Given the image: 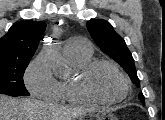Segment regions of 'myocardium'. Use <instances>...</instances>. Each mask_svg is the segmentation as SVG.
<instances>
[{"instance_id": "1", "label": "myocardium", "mask_w": 165, "mask_h": 120, "mask_svg": "<svg viewBox=\"0 0 165 120\" xmlns=\"http://www.w3.org/2000/svg\"><path fill=\"white\" fill-rule=\"evenodd\" d=\"M101 66H109L115 69L123 79L124 82V92L120 97L114 99H104L95 94L91 86V78L94 72ZM77 87L80 94L87 99L88 101L97 102L101 104H115L123 101L129 91H130V80L126 74V72L122 69L120 65L115 63L114 61L107 59H95L85 65L79 73L77 80Z\"/></svg>"}]
</instances>
